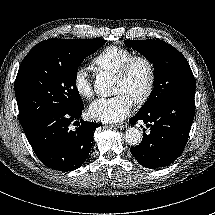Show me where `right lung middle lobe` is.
<instances>
[{
  "instance_id": "right-lung-middle-lobe-1",
  "label": "right lung middle lobe",
  "mask_w": 215,
  "mask_h": 215,
  "mask_svg": "<svg viewBox=\"0 0 215 215\" xmlns=\"http://www.w3.org/2000/svg\"><path fill=\"white\" fill-rule=\"evenodd\" d=\"M105 42L53 38L32 48L15 80L20 123L44 110H75L83 105L76 88L78 66Z\"/></svg>"
}]
</instances>
